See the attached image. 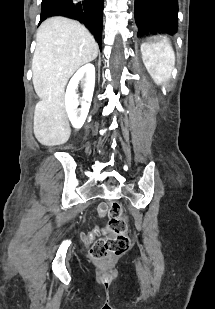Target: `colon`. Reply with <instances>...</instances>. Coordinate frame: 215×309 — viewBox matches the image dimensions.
<instances>
[{
  "label": "colon",
  "instance_id": "obj_1",
  "mask_svg": "<svg viewBox=\"0 0 215 309\" xmlns=\"http://www.w3.org/2000/svg\"><path fill=\"white\" fill-rule=\"evenodd\" d=\"M109 216V228L115 235L98 240L91 250L92 256L102 261L120 255L129 249V239L122 234L126 228V221L121 215L120 209L111 207Z\"/></svg>",
  "mask_w": 215,
  "mask_h": 309
}]
</instances>
